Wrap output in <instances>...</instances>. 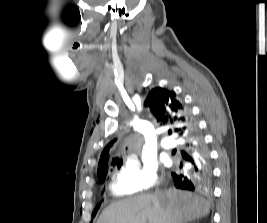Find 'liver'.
Instances as JSON below:
<instances>
[{"label": "liver", "instance_id": "obj_1", "mask_svg": "<svg viewBox=\"0 0 267 223\" xmlns=\"http://www.w3.org/2000/svg\"><path fill=\"white\" fill-rule=\"evenodd\" d=\"M210 203L191 192L171 188L111 204L97 223H187L205 217Z\"/></svg>", "mask_w": 267, "mask_h": 223}]
</instances>
